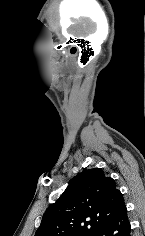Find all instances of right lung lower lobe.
<instances>
[{
    "label": "right lung lower lobe",
    "mask_w": 145,
    "mask_h": 236,
    "mask_svg": "<svg viewBox=\"0 0 145 236\" xmlns=\"http://www.w3.org/2000/svg\"><path fill=\"white\" fill-rule=\"evenodd\" d=\"M131 226L126 207L102 226L93 236H130Z\"/></svg>",
    "instance_id": "right-lung-lower-lobe-1"
}]
</instances>
